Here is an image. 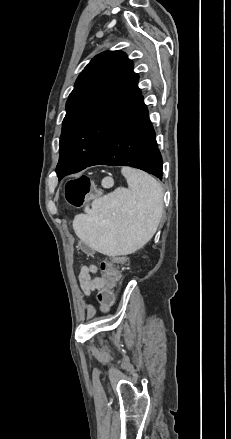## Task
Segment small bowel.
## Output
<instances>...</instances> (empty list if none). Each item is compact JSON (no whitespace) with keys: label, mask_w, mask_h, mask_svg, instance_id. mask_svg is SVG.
I'll use <instances>...</instances> for the list:
<instances>
[{"label":"small bowel","mask_w":231,"mask_h":439,"mask_svg":"<svg viewBox=\"0 0 231 439\" xmlns=\"http://www.w3.org/2000/svg\"><path fill=\"white\" fill-rule=\"evenodd\" d=\"M97 267L95 265L82 267L79 274L80 287L85 295H90L92 292L99 293L100 287L106 284L101 278L102 276H95Z\"/></svg>","instance_id":"small-bowel-1"}]
</instances>
